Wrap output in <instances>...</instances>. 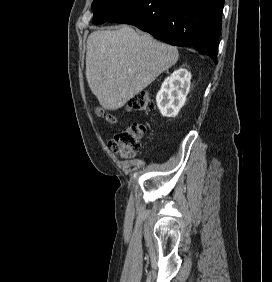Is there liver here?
<instances>
[{"label": "liver", "mask_w": 272, "mask_h": 282, "mask_svg": "<svg viewBox=\"0 0 272 282\" xmlns=\"http://www.w3.org/2000/svg\"><path fill=\"white\" fill-rule=\"evenodd\" d=\"M176 47L123 25L87 39L86 78L106 110H117L178 60Z\"/></svg>", "instance_id": "liver-1"}]
</instances>
